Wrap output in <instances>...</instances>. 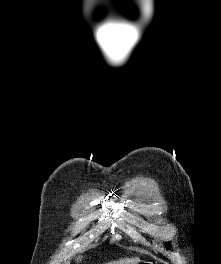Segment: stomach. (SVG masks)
<instances>
[{"label": "stomach", "instance_id": "1", "mask_svg": "<svg viewBox=\"0 0 221 264\" xmlns=\"http://www.w3.org/2000/svg\"><path fill=\"white\" fill-rule=\"evenodd\" d=\"M136 264H153V263L149 261H140L139 263Z\"/></svg>", "mask_w": 221, "mask_h": 264}]
</instances>
